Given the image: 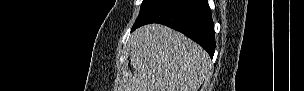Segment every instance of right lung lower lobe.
Segmentation results:
<instances>
[{"label": "right lung lower lobe", "instance_id": "98d812e1", "mask_svg": "<svg viewBox=\"0 0 304 91\" xmlns=\"http://www.w3.org/2000/svg\"><path fill=\"white\" fill-rule=\"evenodd\" d=\"M149 23L164 24L182 32L213 57L214 23L207 0H153L140 12L132 31Z\"/></svg>", "mask_w": 304, "mask_h": 91}]
</instances>
